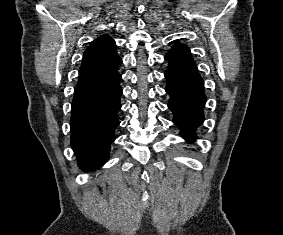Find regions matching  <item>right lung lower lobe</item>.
<instances>
[{"label": "right lung lower lobe", "mask_w": 283, "mask_h": 235, "mask_svg": "<svg viewBox=\"0 0 283 235\" xmlns=\"http://www.w3.org/2000/svg\"><path fill=\"white\" fill-rule=\"evenodd\" d=\"M117 71L106 76L77 83L72 101L71 147L78 164L94 170L109 157L114 130L119 125L117 113L121 108Z\"/></svg>", "instance_id": "1"}]
</instances>
